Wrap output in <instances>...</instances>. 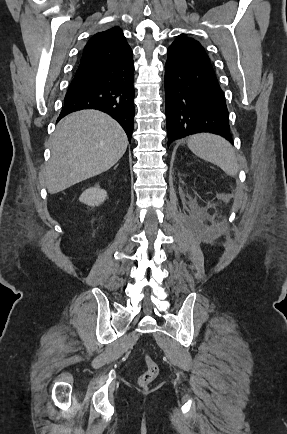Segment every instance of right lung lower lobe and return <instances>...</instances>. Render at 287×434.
Listing matches in <instances>:
<instances>
[{"label":"right lung lower lobe","instance_id":"obj_1","mask_svg":"<svg viewBox=\"0 0 287 434\" xmlns=\"http://www.w3.org/2000/svg\"><path fill=\"white\" fill-rule=\"evenodd\" d=\"M132 54L111 62L79 67L65 95L58 120L81 109H98L113 117L128 139L134 128Z\"/></svg>","mask_w":287,"mask_h":434}]
</instances>
